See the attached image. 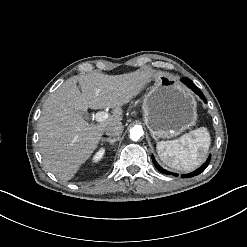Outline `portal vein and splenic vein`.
Masks as SVG:
<instances>
[{
  "instance_id": "obj_1",
  "label": "portal vein and splenic vein",
  "mask_w": 247,
  "mask_h": 247,
  "mask_svg": "<svg viewBox=\"0 0 247 247\" xmlns=\"http://www.w3.org/2000/svg\"><path fill=\"white\" fill-rule=\"evenodd\" d=\"M96 120L99 122H103L110 117V113L107 111H100L96 114Z\"/></svg>"
}]
</instances>
